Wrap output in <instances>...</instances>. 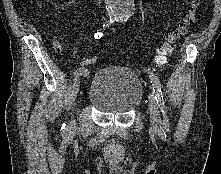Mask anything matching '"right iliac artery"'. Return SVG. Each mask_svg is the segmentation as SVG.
I'll use <instances>...</instances> for the list:
<instances>
[{
	"instance_id": "obj_1",
	"label": "right iliac artery",
	"mask_w": 221,
	"mask_h": 174,
	"mask_svg": "<svg viewBox=\"0 0 221 174\" xmlns=\"http://www.w3.org/2000/svg\"><path fill=\"white\" fill-rule=\"evenodd\" d=\"M112 23H113V21H109L106 25L103 26L104 27L103 29H106ZM102 35H103L102 32H97V33H95L94 37H95V39H98V38H101ZM75 74L87 76L88 75V71L85 68H79V69L76 70Z\"/></svg>"
}]
</instances>
